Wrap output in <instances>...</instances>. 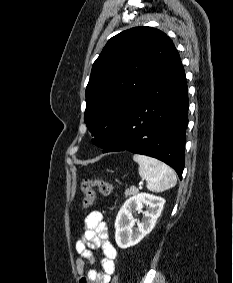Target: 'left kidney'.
I'll use <instances>...</instances> for the list:
<instances>
[{
  "label": "left kidney",
  "mask_w": 233,
  "mask_h": 283,
  "mask_svg": "<svg viewBox=\"0 0 233 283\" xmlns=\"http://www.w3.org/2000/svg\"><path fill=\"white\" fill-rule=\"evenodd\" d=\"M165 200L161 197L141 193L129 198L116 217L115 240L117 245L126 249L138 244L156 225L158 217L164 207ZM146 206L144 217L141 221L135 220L133 214L141 211ZM135 223L137 227L135 228Z\"/></svg>",
  "instance_id": "left-kidney-1"
}]
</instances>
